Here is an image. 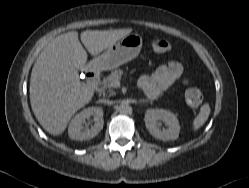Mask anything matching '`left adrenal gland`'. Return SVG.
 <instances>
[{"mask_svg": "<svg viewBox=\"0 0 249 188\" xmlns=\"http://www.w3.org/2000/svg\"><path fill=\"white\" fill-rule=\"evenodd\" d=\"M142 102H149V100H147V99H141V100H139V103H142Z\"/></svg>", "mask_w": 249, "mask_h": 188, "instance_id": "left-adrenal-gland-1", "label": "left adrenal gland"}]
</instances>
